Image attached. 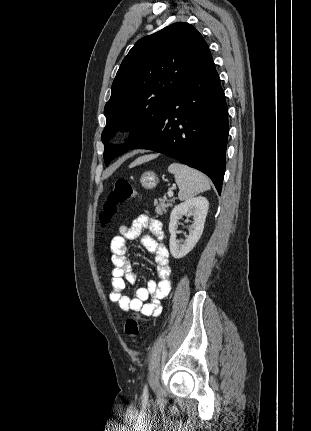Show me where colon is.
I'll use <instances>...</instances> for the list:
<instances>
[{"label":"colon","instance_id":"1","mask_svg":"<svg viewBox=\"0 0 311 431\" xmlns=\"http://www.w3.org/2000/svg\"><path fill=\"white\" fill-rule=\"evenodd\" d=\"M138 197L137 190L125 178L114 181L111 191L108 193L103 210L100 214L102 224H107L116 214L118 206ZM125 332L134 341L139 335V318L137 315L125 322Z\"/></svg>","mask_w":311,"mask_h":431}]
</instances>
